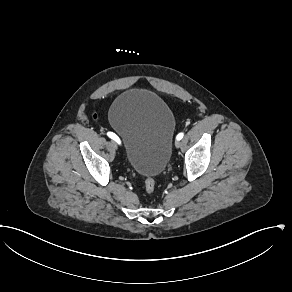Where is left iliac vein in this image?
Segmentation results:
<instances>
[{
    "instance_id": "obj_1",
    "label": "left iliac vein",
    "mask_w": 292,
    "mask_h": 292,
    "mask_svg": "<svg viewBox=\"0 0 292 292\" xmlns=\"http://www.w3.org/2000/svg\"><path fill=\"white\" fill-rule=\"evenodd\" d=\"M175 146H176L177 148H179V147L181 146V142H180V140H176V142H175Z\"/></svg>"
}]
</instances>
